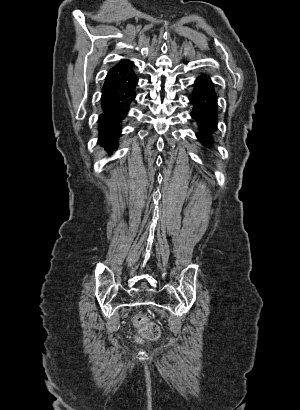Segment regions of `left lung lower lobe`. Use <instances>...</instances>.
Listing matches in <instances>:
<instances>
[{"label": "left lung lower lobe", "mask_w": 300, "mask_h": 410, "mask_svg": "<svg viewBox=\"0 0 300 410\" xmlns=\"http://www.w3.org/2000/svg\"><path fill=\"white\" fill-rule=\"evenodd\" d=\"M189 100L193 104L191 116L198 125L196 137L208 152L214 144L213 134L218 124V100L210 78L203 74L195 81Z\"/></svg>", "instance_id": "1"}]
</instances>
